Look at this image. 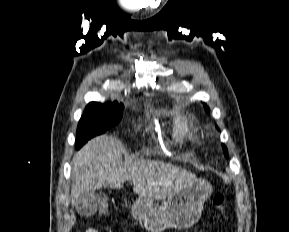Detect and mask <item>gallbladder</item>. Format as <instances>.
<instances>
[{
	"label": "gallbladder",
	"instance_id": "gallbladder-1",
	"mask_svg": "<svg viewBox=\"0 0 289 232\" xmlns=\"http://www.w3.org/2000/svg\"><path fill=\"white\" fill-rule=\"evenodd\" d=\"M100 199L97 194L89 196L80 195L77 202V211L82 216H92L97 212L99 208Z\"/></svg>",
	"mask_w": 289,
	"mask_h": 232
}]
</instances>
